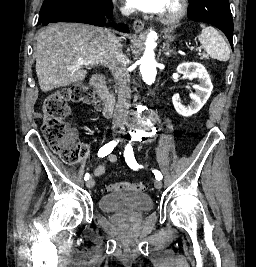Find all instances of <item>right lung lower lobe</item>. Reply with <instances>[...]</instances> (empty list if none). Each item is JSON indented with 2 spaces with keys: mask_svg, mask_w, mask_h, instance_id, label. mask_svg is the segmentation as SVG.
Here are the masks:
<instances>
[{
  "mask_svg": "<svg viewBox=\"0 0 256 267\" xmlns=\"http://www.w3.org/2000/svg\"><path fill=\"white\" fill-rule=\"evenodd\" d=\"M112 9L111 0L101 4L90 5L79 13L55 9L40 17L39 24L45 26L48 23L56 22H80L103 27L106 25V18L111 17ZM115 28L123 32H128L127 26L123 24L115 25Z\"/></svg>",
  "mask_w": 256,
  "mask_h": 267,
  "instance_id": "98d812e1",
  "label": "right lung lower lobe"
}]
</instances>
